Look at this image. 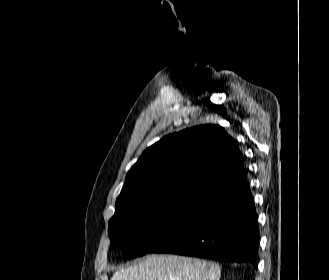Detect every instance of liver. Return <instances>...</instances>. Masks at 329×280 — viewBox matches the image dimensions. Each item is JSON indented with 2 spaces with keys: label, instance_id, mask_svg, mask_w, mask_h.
<instances>
[{
  "label": "liver",
  "instance_id": "obj_1",
  "mask_svg": "<svg viewBox=\"0 0 329 280\" xmlns=\"http://www.w3.org/2000/svg\"><path fill=\"white\" fill-rule=\"evenodd\" d=\"M218 264L177 255H148L113 274L111 280H219Z\"/></svg>",
  "mask_w": 329,
  "mask_h": 280
}]
</instances>
